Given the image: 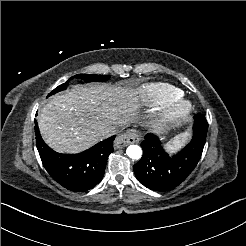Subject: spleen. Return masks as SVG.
I'll return each instance as SVG.
<instances>
[{
    "mask_svg": "<svg viewBox=\"0 0 246 246\" xmlns=\"http://www.w3.org/2000/svg\"><path fill=\"white\" fill-rule=\"evenodd\" d=\"M190 132H183L179 135H176L169 143L166 144V149L169 153L177 151L184 143L189 140Z\"/></svg>",
    "mask_w": 246,
    "mask_h": 246,
    "instance_id": "spleen-1",
    "label": "spleen"
}]
</instances>
